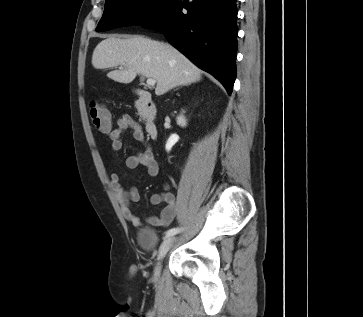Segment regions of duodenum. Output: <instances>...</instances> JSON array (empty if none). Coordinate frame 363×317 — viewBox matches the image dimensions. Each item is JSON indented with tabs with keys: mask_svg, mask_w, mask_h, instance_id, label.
I'll return each instance as SVG.
<instances>
[{
	"mask_svg": "<svg viewBox=\"0 0 363 317\" xmlns=\"http://www.w3.org/2000/svg\"><path fill=\"white\" fill-rule=\"evenodd\" d=\"M137 102L139 110L143 113L145 117V128L148 134L152 138H157L158 136V126L156 125L154 118V104L149 92L145 90L137 91Z\"/></svg>",
	"mask_w": 363,
	"mask_h": 317,
	"instance_id": "410a0bca",
	"label": "duodenum"
}]
</instances>
